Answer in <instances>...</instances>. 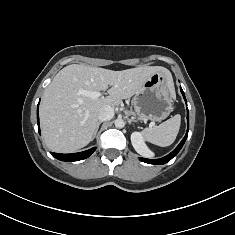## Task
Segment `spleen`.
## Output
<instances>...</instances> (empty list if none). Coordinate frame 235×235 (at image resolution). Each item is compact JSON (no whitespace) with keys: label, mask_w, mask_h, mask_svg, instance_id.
I'll use <instances>...</instances> for the list:
<instances>
[{"label":"spleen","mask_w":235,"mask_h":235,"mask_svg":"<svg viewBox=\"0 0 235 235\" xmlns=\"http://www.w3.org/2000/svg\"><path fill=\"white\" fill-rule=\"evenodd\" d=\"M181 116H173L167 121L155 127L145 128L142 135L146 141L157 146L166 147L171 145L179 132Z\"/></svg>","instance_id":"spleen-1"}]
</instances>
